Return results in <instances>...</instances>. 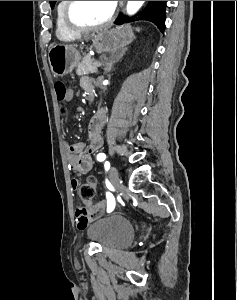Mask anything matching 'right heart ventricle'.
Segmentation results:
<instances>
[{
    "mask_svg": "<svg viewBox=\"0 0 237 300\" xmlns=\"http://www.w3.org/2000/svg\"><path fill=\"white\" fill-rule=\"evenodd\" d=\"M67 4V1H59L57 4V36L60 39L68 40L72 39L76 36L77 33L72 32L65 24L64 20V10L65 6Z\"/></svg>",
    "mask_w": 237,
    "mask_h": 300,
    "instance_id": "right-heart-ventricle-1",
    "label": "right heart ventricle"
}]
</instances>
